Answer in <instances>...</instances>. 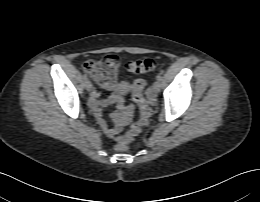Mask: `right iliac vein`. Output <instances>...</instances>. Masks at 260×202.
<instances>
[{"mask_svg": "<svg viewBox=\"0 0 260 202\" xmlns=\"http://www.w3.org/2000/svg\"><path fill=\"white\" fill-rule=\"evenodd\" d=\"M85 88L87 91H92V83L89 80H86L85 82Z\"/></svg>", "mask_w": 260, "mask_h": 202, "instance_id": "right-iliac-vein-1", "label": "right iliac vein"}]
</instances>
